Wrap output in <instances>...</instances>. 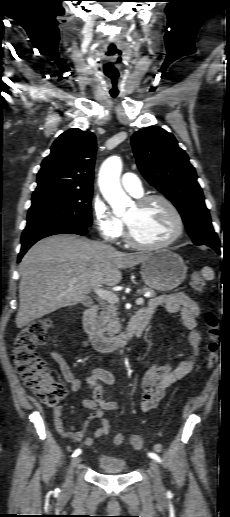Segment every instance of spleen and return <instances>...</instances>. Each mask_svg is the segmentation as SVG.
I'll return each mask as SVG.
<instances>
[{
	"label": "spleen",
	"instance_id": "1",
	"mask_svg": "<svg viewBox=\"0 0 230 517\" xmlns=\"http://www.w3.org/2000/svg\"><path fill=\"white\" fill-rule=\"evenodd\" d=\"M203 277L206 280H213L214 279V272L210 267H204L201 271Z\"/></svg>",
	"mask_w": 230,
	"mask_h": 517
}]
</instances>
